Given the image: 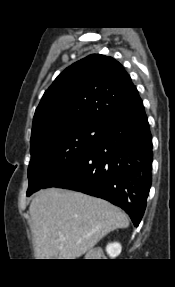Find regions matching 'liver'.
I'll list each match as a JSON object with an SVG mask.
<instances>
[{
    "instance_id": "1",
    "label": "liver",
    "mask_w": 175,
    "mask_h": 287,
    "mask_svg": "<svg viewBox=\"0 0 175 287\" xmlns=\"http://www.w3.org/2000/svg\"><path fill=\"white\" fill-rule=\"evenodd\" d=\"M29 213L37 259H76L109 232L129 226L126 214L109 202L58 188L40 190Z\"/></svg>"
}]
</instances>
